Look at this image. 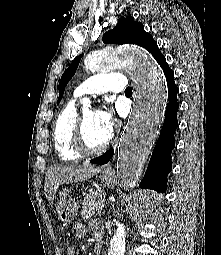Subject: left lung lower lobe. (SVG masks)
Returning <instances> with one entry per match:
<instances>
[{
    "label": "left lung lower lobe",
    "instance_id": "0a47b994",
    "mask_svg": "<svg viewBox=\"0 0 221 255\" xmlns=\"http://www.w3.org/2000/svg\"><path fill=\"white\" fill-rule=\"evenodd\" d=\"M153 57L161 66L167 79L169 103L166 107L165 120L153 150L148 168L140 187L154 189L164 192L166 190L167 175L171 171V151L174 148V134L177 128L178 103L176 94L178 88L174 82V74L168 66L165 57L157 50ZM114 154L113 149H109L100 157L92 159L91 163L106 164Z\"/></svg>",
    "mask_w": 221,
    "mask_h": 255
}]
</instances>
